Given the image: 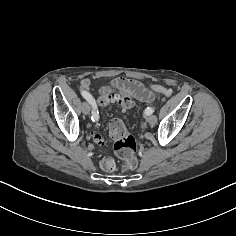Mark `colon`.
<instances>
[{"label": "colon", "mask_w": 236, "mask_h": 236, "mask_svg": "<svg viewBox=\"0 0 236 236\" xmlns=\"http://www.w3.org/2000/svg\"><path fill=\"white\" fill-rule=\"evenodd\" d=\"M150 90L167 98L173 95L171 89L161 85H151ZM98 103L103 107L117 105L123 109H129L132 106L131 98L120 92H106L99 97ZM109 136L113 141L115 154L123 161V168L125 170L135 169L138 164L135 156V138L127 131L122 120L115 118L110 121ZM94 140L98 145H104V140L99 134L94 135ZM102 166L105 170L111 171L115 168V163L111 159H106Z\"/></svg>", "instance_id": "1"}]
</instances>
